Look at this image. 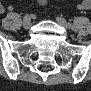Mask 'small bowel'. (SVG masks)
Masks as SVG:
<instances>
[{"label":"small bowel","mask_w":91,"mask_h":91,"mask_svg":"<svg viewBox=\"0 0 91 91\" xmlns=\"http://www.w3.org/2000/svg\"><path fill=\"white\" fill-rule=\"evenodd\" d=\"M42 3L44 1H41ZM91 8V2L89 0H83L78 4V9L80 10H88ZM1 11H4V7L1 8Z\"/></svg>","instance_id":"obj_1"}]
</instances>
